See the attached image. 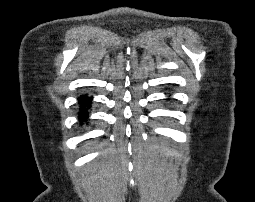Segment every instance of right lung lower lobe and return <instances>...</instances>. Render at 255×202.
Here are the masks:
<instances>
[{"label":"right lung lower lobe","instance_id":"98d812e1","mask_svg":"<svg viewBox=\"0 0 255 202\" xmlns=\"http://www.w3.org/2000/svg\"><path fill=\"white\" fill-rule=\"evenodd\" d=\"M78 100H79L80 109H81L79 113V118H80V121H83L89 115L88 110L91 108L92 98L87 97L86 95H82L78 98Z\"/></svg>","mask_w":255,"mask_h":202}]
</instances>
